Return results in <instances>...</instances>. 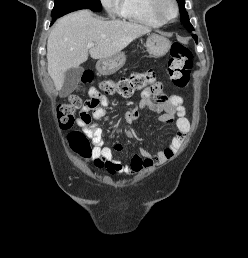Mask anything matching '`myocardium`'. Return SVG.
I'll list each match as a JSON object with an SVG mask.
<instances>
[{"label": "myocardium", "instance_id": "1", "mask_svg": "<svg viewBox=\"0 0 248 258\" xmlns=\"http://www.w3.org/2000/svg\"><path fill=\"white\" fill-rule=\"evenodd\" d=\"M164 1H168L172 4L174 9V14L172 16H166L162 13L161 3ZM150 9L152 14L163 24L175 21L179 15V5L177 0H151Z\"/></svg>", "mask_w": 248, "mask_h": 258}]
</instances>
